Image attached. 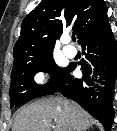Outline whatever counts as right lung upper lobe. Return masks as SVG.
Returning a JSON list of instances; mask_svg holds the SVG:
<instances>
[{"mask_svg":"<svg viewBox=\"0 0 117 131\" xmlns=\"http://www.w3.org/2000/svg\"><path fill=\"white\" fill-rule=\"evenodd\" d=\"M107 19L103 0H43L21 24L13 68L52 54L56 39L66 28L72 29L81 44L108 27Z\"/></svg>","mask_w":117,"mask_h":131,"instance_id":"right-lung-upper-lobe-1","label":"right lung upper lobe"}]
</instances>
